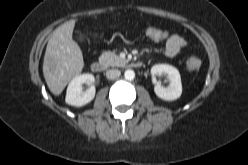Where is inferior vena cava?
I'll return each instance as SVG.
<instances>
[{"instance_id": "obj_1", "label": "inferior vena cava", "mask_w": 248, "mask_h": 165, "mask_svg": "<svg viewBox=\"0 0 248 165\" xmlns=\"http://www.w3.org/2000/svg\"><path fill=\"white\" fill-rule=\"evenodd\" d=\"M121 75L120 70L118 69H110L106 72L107 79H116Z\"/></svg>"}]
</instances>
